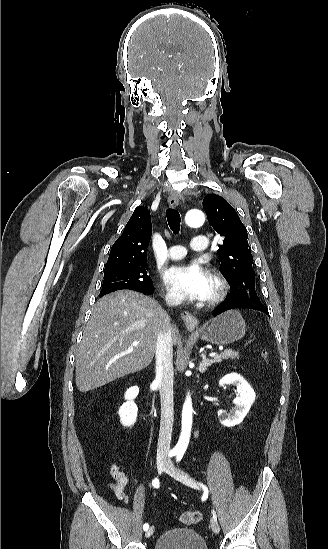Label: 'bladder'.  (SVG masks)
<instances>
[{
  "mask_svg": "<svg viewBox=\"0 0 328 549\" xmlns=\"http://www.w3.org/2000/svg\"><path fill=\"white\" fill-rule=\"evenodd\" d=\"M154 549H208L201 536L190 529H174L163 532Z\"/></svg>",
  "mask_w": 328,
  "mask_h": 549,
  "instance_id": "31cf9c89",
  "label": "bladder"
}]
</instances>
